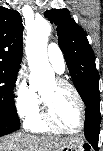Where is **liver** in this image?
Returning <instances> with one entry per match:
<instances>
[{
  "mask_svg": "<svg viewBox=\"0 0 103 151\" xmlns=\"http://www.w3.org/2000/svg\"><path fill=\"white\" fill-rule=\"evenodd\" d=\"M77 138H56L50 136H33L29 134L16 133L1 138L0 151H57V149Z\"/></svg>",
  "mask_w": 103,
  "mask_h": 151,
  "instance_id": "liver-1",
  "label": "liver"
}]
</instances>
